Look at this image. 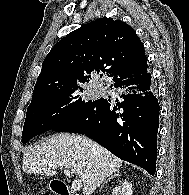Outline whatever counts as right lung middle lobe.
Segmentation results:
<instances>
[{
    "mask_svg": "<svg viewBox=\"0 0 189 195\" xmlns=\"http://www.w3.org/2000/svg\"><path fill=\"white\" fill-rule=\"evenodd\" d=\"M94 101L86 98L80 86L61 89L31 101L26 113L22 143L53 130Z\"/></svg>",
    "mask_w": 189,
    "mask_h": 195,
    "instance_id": "right-lung-middle-lobe-1",
    "label": "right lung middle lobe"
}]
</instances>
